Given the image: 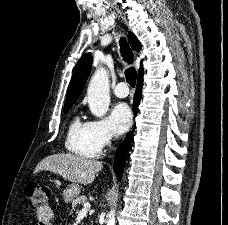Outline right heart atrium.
<instances>
[{
  "mask_svg": "<svg viewBox=\"0 0 228 225\" xmlns=\"http://www.w3.org/2000/svg\"><path fill=\"white\" fill-rule=\"evenodd\" d=\"M89 126L95 141L100 147H106L112 142L114 133L106 119H95L89 122Z\"/></svg>",
  "mask_w": 228,
  "mask_h": 225,
  "instance_id": "obj_1",
  "label": "right heart atrium"
}]
</instances>
